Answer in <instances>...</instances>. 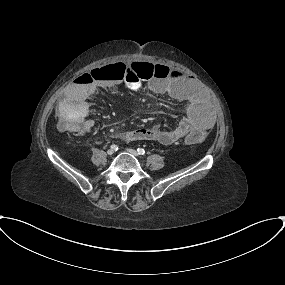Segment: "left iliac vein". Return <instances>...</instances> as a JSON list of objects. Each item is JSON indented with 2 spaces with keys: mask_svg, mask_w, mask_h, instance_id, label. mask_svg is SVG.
Returning a JSON list of instances; mask_svg holds the SVG:
<instances>
[{
  "mask_svg": "<svg viewBox=\"0 0 285 285\" xmlns=\"http://www.w3.org/2000/svg\"><path fill=\"white\" fill-rule=\"evenodd\" d=\"M126 152H128L129 154H131V155L134 156V157H139L138 152H137L136 150H134V149L127 148V149H126Z\"/></svg>",
  "mask_w": 285,
  "mask_h": 285,
  "instance_id": "1",
  "label": "left iliac vein"
}]
</instances>
